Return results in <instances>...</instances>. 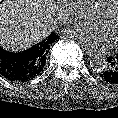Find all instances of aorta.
<instances>
[{"label":"aorta","mask_w":118,"mask_h":118,"mask_svg":"<svg viewBox=\"0 0 118 118\" xmlns=\"http://www.w3.org/2000/svg\"><path fill=\"white\" fill-rule=\"evenodd\" d=\"M94 9H95V5L93 2H91V1L83 2L79 6L78 15L82 19H90L93 17V15L95 13ZM107 65H108V62H107L106 57H104L100 54L94 55L90 60V66H91L92 70L97 71V72H101V71L105 70Z\"/></svg>","instance_id":"obj_1"}]
</instances>
